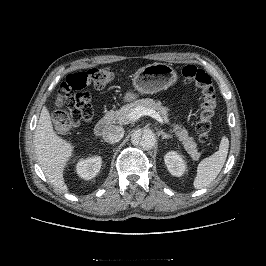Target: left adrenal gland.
Instances as JSON below:
<instances>
[{
  "mask_svg": "<svg viewBox=\"0 0 266 266\" xmlns=\"http://www.w3.org/2000/svg\"><path fill=\"white\" fill-rule=\"evenodd\" d=\"M159 134H161L162 139H172V135H170V134H166V133L163 132L162 130L159 131Z\"/></svg>",
  "mask_w": 266,
  "mask_h": 266,
  "instance_id": "a2214340",
  "label": "left adrenal gland"
}]
</instances>
